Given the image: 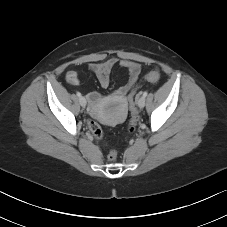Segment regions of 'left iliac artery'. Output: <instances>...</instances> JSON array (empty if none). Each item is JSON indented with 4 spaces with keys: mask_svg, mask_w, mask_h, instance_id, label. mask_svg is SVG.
Returning <instances> with one entry per match:
<instances>
[{
    "mask_svg": "<svg viewBox=\"0 0 227 227\" xmlns=\"http://www.w3.org/2000/svg\"><path fill=\"white\" fill-rule=\"evenodd\" d=\"M147 92L145 91L144 93H143V97L145 98L146 96H147Z\"/></svg>",
    "mask_w": 227,
    "mask_h": 227,
    "instance_id": "44dca946",
    "label": "left iliac artery"
}]
</instances>
